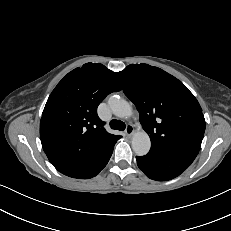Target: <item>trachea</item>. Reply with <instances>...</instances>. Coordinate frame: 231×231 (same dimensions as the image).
Here are the masks:
<instances>
[{"instance_id": "trachea-1", "label": "trachea", "mask_w": 231, "mask_h": 231, "mask_svg": "<svg viewBox=\"0 0 231 231\" xmlns=\"http://www.w3.org/2000/svg\"><path fill=\"white\" fill-rule=\"evenodd\" d=\"M110 127L115 130L123 131L126 128V125L121 120L113 119L110 121Z\"/></svg>"}]
</instances>
